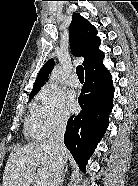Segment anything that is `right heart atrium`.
I'll use <instances>...</instances> for the list:
<instances>
[{"mask_svg":"<svg viewBox=\"0 0 138 186\" xmlns=\"http://www.w3.org/2000/svg\"><path fill=\"white\" fill-rule=\"evenodd\" d=\"M38 100L40 102L39 121L46 135L65 128L68 116L63 95L47 86L39 93Z\"/></svg>","mask_w":138,"mask_h":186,"instance_id":"right-heart-atrium-1","label":"right heart atrium"}]
</instances>
